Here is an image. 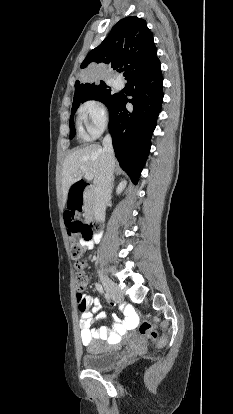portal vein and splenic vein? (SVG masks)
<instances>
[{
	"mask_svg": "<svg viewBox=\"0 0 233 414\" xmlns=\"http://www.w3.org/2000/svg\"><path fill=\"white\" fill-rule=\"evenodd\" d=\"M82 170H83V171H85V169H84V168H82ZM85 178H86L87 180H92V179H93V175H92V174H90V173H86V174H85Z\"/></svg>",
	"mask_w": 233,
	"mask_h": 414,
	"instance_id": "obj_1",
	"label": "portal vein and splenic vein"
}]
</instances>
